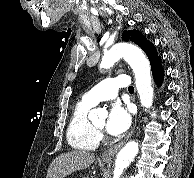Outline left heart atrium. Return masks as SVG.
I'll return each instance as SVG.
<instances>
[{"label": "left heart atrium", "instance_id": "39dd6f15", "mask_svg": "<svg viewBox=\"0 0 194 178\" xmlns=\"http://www.w3.org/2000/svg\"><path fill=\"white\" fill-rule=\"evenodd\" d=\"M131 122L130 111L120 104H114L110 109L105 129L110 135L117 136L127 131Z\"/></svg>", "mask_w": 194, "mask_h": 178}]
</instances>
